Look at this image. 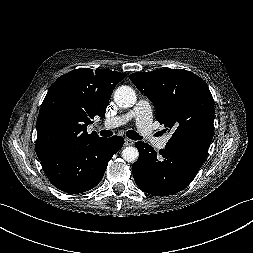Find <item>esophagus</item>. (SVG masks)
<instances>
[{"label": "esophagus", "instance_id": "obj_1", "mask_svg": "<svg viewBox=\"0 0 253 253\" xmlns=\"http://www.w3.org/2000/svg\"><path fill=\"white\" fill-rule=\"evenodd\" d=\"M133 143H134L133 140L129 138H125V143H124L125 146L133 145Z\"/></svg>", "mask_w": 253, "mask_h": 253}]
</instances>
